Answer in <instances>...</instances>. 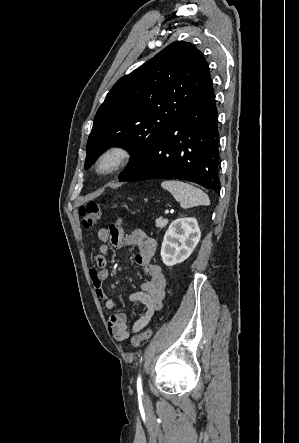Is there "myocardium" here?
Masks as SVG:
<instances>
[{
    "instance_id": "f54148a6",
    "label": "myocardium",
    "mask_w": 299,
    "mask_h": 443,
    "mask_svg": "<svg viewBox=\"0 0 299 443\" xmlns=\"http://www.w3.org/2000/svg\"><path fill=\"white\" fill-rule=\"evenodd\" d=\"M130 150L122 144H111L107 146L94 162V171L98 176H109L124 166L131 159Z\"/></svg>"
}]
</instances>
